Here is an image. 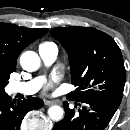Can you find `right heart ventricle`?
Wrapping results in <instances>:
<instances>
[{
    "mask_svg": "<svg viewBox=\"0 0 130 130\" xmlns=\"http://www.w3.org/2000/svg\"><path fill=\"white\" fill-rule=\"evenodd\" d=\"M51 46H55L54 43L52 42H43L40 44L39 48H42V47H51Z\"/></svg>",
    "mask_w": 130,
    "mask_h": 130,
    "instance_id": "right-heart-ventricle-1",
    "label": "right heart ventricle"
}]
</instances>
